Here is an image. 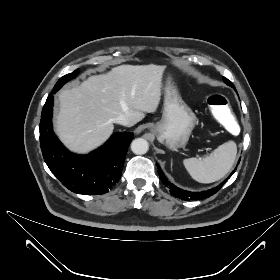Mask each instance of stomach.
<instances>
[{
	"instance_id": "stomach-1",
	"label": "stomach",
	"mask_w": 280,
	"mask_h": 280,
	"mask_svg": "<svg viewBox=\"0 0 280 280\" xmlns=\"http://www.w3.org/2000/svg\"><path fill=\"white\" fill-rule=\"evenodd\" d=\"M197 123L196 115L183 101L172 76L167 78L162 119L151 131L171 150L186 146Z\"/></svg>"
}]
</instances>
